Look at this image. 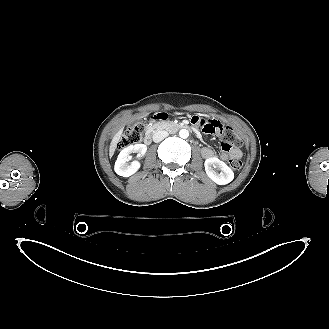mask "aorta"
Listing matches in <instances>:
<instances>
[{
    "label": "aorta",
    "mask_w": 329,
    "mask_h": 329,
    "mask_svg": "<svg viewBox=\"0 0 329 329\" xmlns=\"http://www.w3.org/2000/svg\"><path fill=\"white\" fill-rule=\"evenodd\" d=\"M179 136L183 139H186L189 136V131L187 129H181L179 131Z\"/></svg>",
    "instance_id": "1"
}]
</instances>
